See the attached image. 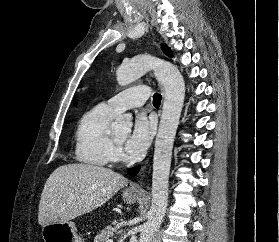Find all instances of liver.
Returning <instances> with one entry per match:
<instances>
[{
	"mask_svg": "<svg viewBox=\"0 0 279 242\" xmlns=\"http://www.w3.org/2000/svg\"><path fill=\"white\" fill-rule=\"evenodd\" d=\"M123 175L100 166L67 164L47 179L39 203L38 223L45 226L86 214L126 186Z\"/></svg>",
	"mask_w": 279,
	"mask_h": 242,
	"instance_id": "1",
	"label": "liver"
}]
</instances>
